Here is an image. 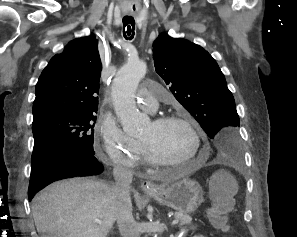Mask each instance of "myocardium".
Returning <instances> with one entry per match:
<instances>
[{
  "instance_id": "1",
  "label": "myocardium",
  "mask_w": 297,
  "mask_h": 237,
  "mask_svg": "<svg viewBox=\"0 0 297 237\" xmlns=\"http://www.w3.org/2000/svg\"><path fill=\"white\" fill-rule=\"evenodd\" d=\"M153 122L156 124L171 123V122H178V123L184 124L189 129L190 133L193 136V139L195 142V151L192 155H190L185 159L172 161L161 157L160 155L155 153L146 143L140 141L141 146L146 155L147 161L149 163L155 166H177V165L186 164L199 157L201 147H202V139L196 125L192 122L191 119L183 115L170 114V115H161V116L155 117L153 119Z\"/></svg>"
}]
</instances>
